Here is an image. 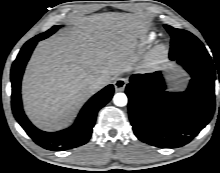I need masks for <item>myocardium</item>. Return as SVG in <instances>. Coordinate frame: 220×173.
I'll use <instances>...</instances> for the list:
<instances>
[{"label":"myocardium","instance_id":"f54148a6","mask_svg":"<svg viewBox=\"0 0 220 173\" xmlns=\"http://www.w3.org/2000/svg\"><path fill=\"white\" fill-rule=\"evenodd\" d=\"M168 55V45L161 42L152 47L144 56V64L148 68H154L163 63Z\"/></svg>","mask_w":220,"mask_h":173}]
</instances>
